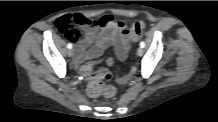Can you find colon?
Instances as JSON below:
<instances>
[{
	"instance_id": "obj_1",
	"label": "colon",
	"mask_w": 218,
	"mask_h": 122,
	"mask_svg": "<svg viewBox=\"0 0 218 122\" xmlns=\"http://www.w3.org/2000/svg\"><path fill=\"white\" fill-rule=\"evenodd\" d=\"M58 29L65 33L67 37L71 40L78 39L81 36V31L76 28L70 17H62L57 20ZM145 29V23L143 21H136L130 31L129 38L133 41L137 40ZM112 55H104L103 63L105 67L97 71L95 62H83L82 66L77 69L78 77H87L89 79V83L87 86V92L90 96H98L100 94H104L105 96L111 97L115 94L116 90L112 85L105 86L104 81L110 80L112 77V73L110 70L117 69V62L113 61ZM135 67L132 68V71H135ZM88 71H90L88 73ZM95 71V72H94ZM133 80V76L131 74H126L125 76H120L118 81L121 84L130 83Z\"/></svg>"
}]
</instances>
